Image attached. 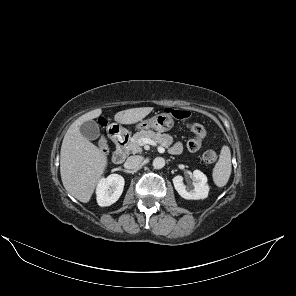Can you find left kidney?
Returning a JSON list of instances; mask_svg holds the SVG:
<instances>
[{
  "label": "left kidney",
  "mask_w": 296,
  "mask_h": 296,
  "mask_svg": "<svg viewBox=\"0 0 296 296\" xmlns=\"http://www.w3.org/2000/svg\"><path fill=\"white\" fill-rule=\"evenodd\" d=\"M195 182L193 183L194 189L188 190L183 183V177L177 175L173 178V184L178 194L187 200L205 199L209 193V186L207 184L206 175L200 170L193 171Z\"/></svg>",
  "instance_id": "obj_1"
}]
</instances>
